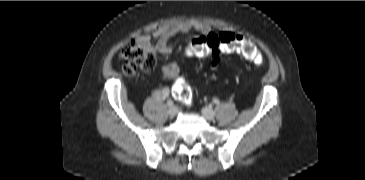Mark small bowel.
Returning a JSON list of instances; mask_svg holds the SVG:
<instances>
[{
  "label": "small bowel",
  "instance_id": "obj_1",
  "mask_svg": "<svg viewBox=\"0 0 365 180\" xmlns=\"http://www.w3.org/2000/svg\"><path fill=\"white\" fill-rule=\"evenodd\" d=\"M191 31H196L200 34L199 39L202 37H207L209 35H214L210 31L207 24L202 22H184L179 24H174L167 27H161L154 31L152 36H142L140 37V42L147 46L157 57H163L169 55L173 50L172 38L188 33ZM155 41V43H153ZM221 61L218 56H214L213 66L216 68L220 65ZM159 74L164 79L176 80L179 76L180 67L176 63H168L161 65L158 68ZM169 88L163 87L155 91V96L158 99H165L169 95Z\"/></svg>",
  "mask_w": 365,
  "mask_h": 180
}]
</instances>
